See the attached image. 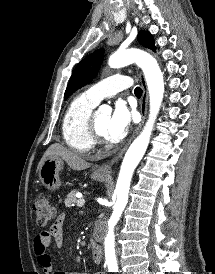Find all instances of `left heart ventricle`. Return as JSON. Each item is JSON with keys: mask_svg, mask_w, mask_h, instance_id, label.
<instances>
[{"mask_svg": "<svg viewBox=\"0 0 215 274\" xmlns=\"http://www.w3.org/2000/svg\"><path fill=\"white\" fill-rule=\"evenodd\" d=\"M109 117L110 116L108 114H104V113L95 115V122H96L97 129L103 136H105V131H106Z\"/></svg>", "mask_w": 215, "mask_h": 274, "instance_id": "1", "label": "left heart ventricle"}]
</instances>
